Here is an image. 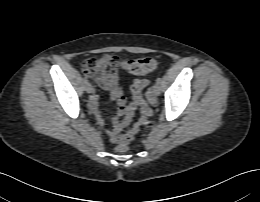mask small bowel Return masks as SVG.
I'll return each mask as SVG.
<instances>
[{
	"label": "small bowel",
	"instance_id": "c3829d8e",
	"mask_svg": "<svg viewBox=\"0 0 260 202\" xmlns=\"http://www.w3.org/2000/svg\"><path fill=\"white\" fill-rule=\"evenodd\" d=\"M102 88L110 93V100L117 102V111L112 118L110 127L105 128V122L99 111L98 95L94 93L89 100L88 106L94 115L97 124L105 128V132L113 143L117 142L118 135L121 131L130 125L133 120L137 105L134 102H127L124 95V89L118 85L116 79L101 85Z\"/></svg>",
	"mask_w": 260,
	"mask_h": 202
}]
</instances>
